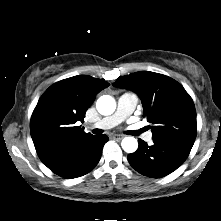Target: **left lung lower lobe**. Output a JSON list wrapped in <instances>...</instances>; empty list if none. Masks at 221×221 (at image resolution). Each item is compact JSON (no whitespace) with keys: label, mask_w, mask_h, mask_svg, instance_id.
I'll use <instances>...</instances> for the list:
<instances>
[{"label":"left lung lower lobe","mask_w":221,"mask_h":221,"mask_svg":"<svg viewBox=\"0 0 221 221\" xmlns=\"http://www.w3.org/2000/svg\"><path fill=\"white\" fill-rule=\"evenodd\" d=\"M192 146L165 139H153V145L139 139L136 152L129 154L130 165L140 174L152 178L164 177L176 170L188 157Z\"/></svg>","instance_id":"1"}]
</instances>
